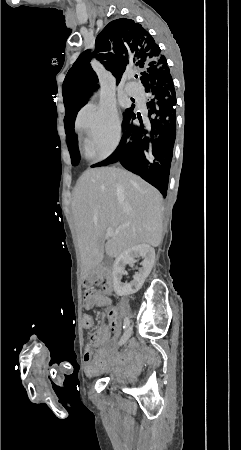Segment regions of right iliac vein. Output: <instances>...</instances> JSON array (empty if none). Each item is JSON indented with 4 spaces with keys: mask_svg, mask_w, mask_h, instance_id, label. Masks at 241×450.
<instances>
[{
    "mask_svg": "<svg viewBox=\"0 0 241 450\" xmlns=\"http://www.w3.org/2000/svg\"><path fill=\"white\" fill-rule=\"evenodd\" d=\"M131 334H132V326H128L120 340V344L123 345L124 343H126Z\"/></svg>",
    "mask_w": 241,
    "mask_h": 450,
    "instance_id": "1",
    "label": "right iliac vein"
}]
</instances>
